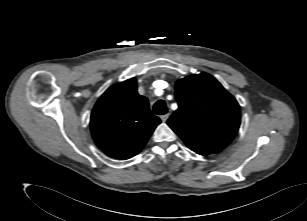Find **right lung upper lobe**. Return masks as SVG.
<instances>
[{
	"mask_svg": "<svg viewBox=\"0 0 307 221\" xmlns=\"http://www.w3.org/2000/svg\"><path fill=\"white\" fill-rule=\"evenodd\" d=\"M160 122L150 111L147 98L137 93L136 79L131 78L111 86L98 99L90 128L105 154L124 160L142 150Z\"/></svg>",
	"mask_w": 307,
	"mask_h": 221,
	"instance_id": "right-lung-upper-lobe-1",
	"label": "right lung upper lobe"
}]
</instances>
